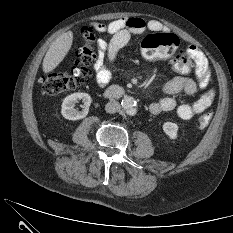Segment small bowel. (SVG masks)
<instances>
[{
	"mask_svg": "<svg viewBox=\"0 0 233 233\" xmlns=\"http://www.w3.org/2000/svg\"><path fill=\"white\" fill-rule=\"evenodd\" d=\"M96 31L106 32L111 35L109 41L98 40V53L93 65L96 83L104 88L110 81L112 67L118 52L128 44L131 37L135 34H141L146 30L160 31L163 25L157 20L145 21L136 17H124L116 19L108 24L95 23L91 25ZM187 54L193 61L194 77L178 76L162 87L164 97L150 103L149 110L153 114L175 111L179 118L188 120L195 115L208 109L214 101L215 90H206L192 104L178 103L174 95L185 93L194 95L200 90L208 87L210 80V65L205 54L196 46H188Z\"/></svg>",
	"mask_w": 233,
	"mask_h": 233,
	"instance_id": "c3829d8e",
	"label": "small bowel"
}]
</instances>
